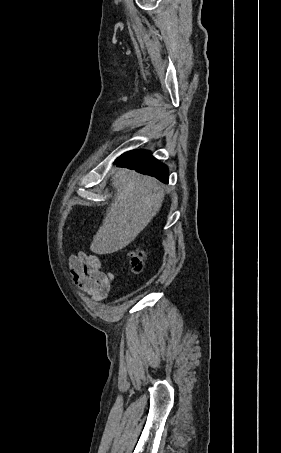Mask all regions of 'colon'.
<instances>
[{
    "label": "colon",
    "instance_id": "5ec220e1",
    "mask_svg": "<svg viewBox=\"0 0 281 453\" xmlns=\"http://www.w3.org/2000/svg\"><path fill=\"white\" fill-rule=\"evenodd\" d=\"M146 255L144 244H136L131 254V268L140 272L143 269V258Z\"/></svg>",
    "mask_w": 281,
    "mask_h": 453
}]
</instances>
